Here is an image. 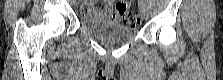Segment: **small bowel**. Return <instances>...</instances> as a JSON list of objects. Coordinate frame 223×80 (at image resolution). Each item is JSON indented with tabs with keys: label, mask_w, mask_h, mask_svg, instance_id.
<instances>
[{
	"label": "small bowel",
	"mask_w": 223,
	"mask_h": 80,
	"mask_svg": "<svg viewBox=\"0 0 223 80\" xmlns=\"http://www.w3.org/2000/svg\"><path fill=\"white\" fill-rule=\"evenodd\" d=\"M82 14L86 17L107 19L110 21H117L121 18L115 12V6L113 7L111 1L106 2L104 8H98L91 3H87L82 8Z\"/></svg>",
	"instance_id": "obj_1"
}]
</instances>
